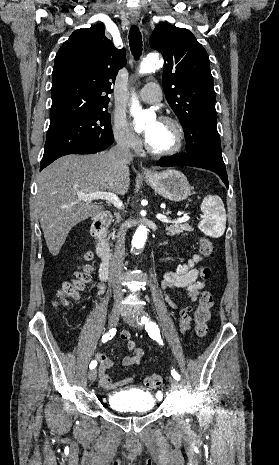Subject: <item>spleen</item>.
Segmentation results:
<instances>
[{"label":"spleen","instance_id":"obj_1","mask_svg":"<svg viewBox=\"0 0 279 465\" xmlns=\"http://www.w3.org/2000/svg\"><path fill=\"white\" fill-rule=\"evenodd\" d=\"M203 220L199 228L211 237H221L226 228V213L224 204L219 196H207L201 204Z\"/></svg>","mask_w":279,"mask_h":465}]
</instances>
